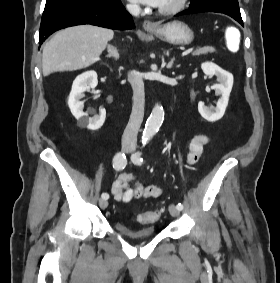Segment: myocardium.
I'll return each instance as SVG.
<instances>
[{"label": "myocardium", "mask_w": 280, "mask_h": 283, "mask_svg": "<svg viewBox=\"0 0 280 283\" xmlns=\"http://www.w3.org/2000/svg\"><path fill=\"white\" fill-rule=\"evenodd\" d=\"M189 0H176L175 3L168 7H159L158 11L162 15H173L182 11Z\"/></svg>", "instance_id": "1"}]
</instances>
